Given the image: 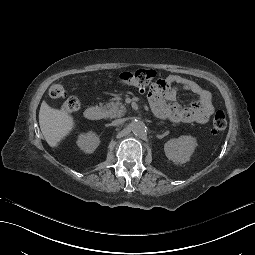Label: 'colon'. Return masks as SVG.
Returning <instances> with one entry per match:
<instances>
[{"label": "colon", "mask_w": 255, "mask_h": 255, "mask_svg": "<svg viewBox=\"0 0 255 255\" xmlns=\"http://www.w3.org/2000/svg\"><path fill=\"white\" fill-rule=\"evenodd\" d=\"M157 77L154 70L140 69L134 72H124L118 77V82L125 86H134L145 88ZM162 80H157L155 84L161 85ZM49 95L53 99L62 98L66 95L65 87L60 83H54L49 88ZM80 108V102L76 97L67 98L63 105L62 111L65 113H74ZM227 126L226 116L223 111H217L212 121V131L217 133L223 131Z\"/></svg>", "instance_id": "colon-1"}]
</instances>
